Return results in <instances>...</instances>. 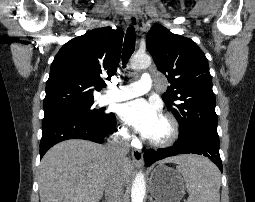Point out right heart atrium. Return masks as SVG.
<instances>
[{"mask_svg": "<svg viewBox=\"0 0 255 202\" xmlns=\"http://www.w3.org/2000/svg\"><path fill=\"white\" fill-rule=\"evenodd\" d=\"M119 134L120 136L123 138V139H129L130 138V134H129V131L128 129L125 127V126H121L119 128Z\"/></svg>", "mask_w": 255, "mask_h": 202, "instance_id": "right-heart-atrium-1", "label": "right heart atrium"}]
</instances>
